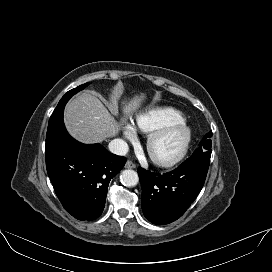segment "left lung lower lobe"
I'll list each match as a JSON object with an SVG mask.
<instances>
[{
	"mask_svg": "<svg viewBox=\"0 0 272 272\" xmlns=\"http://www.w3.org/2000/svg\"><path fill=\"white\" fill-rule=\"evenodd\" d=\"M210 157L211 151L191 156L175 170L163 174L139 167L144 216L156 225L181 217L204 185Z\"/></svg>",
	"mask_w": 272,
	"mask_h": 272,
	"instance_id": "obj_1",
	"label": "left lung lower lobe"
}]
</instances>
